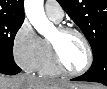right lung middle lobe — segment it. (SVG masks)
I'll use <instances>...</instances> for the list:
<instances>
[{
    "label": "right lung middle lobe",
    "instance_id": "right-lung-middle-lobe-1",
    "mask_svg": "<svg viewBox=\"0 0 107 89\" xmlns=\"http://www.w3.org/2000/svg\"><path fill=\"white\" fill-rule=\"evenodd\" d=\"M24 19L0 16V63L16 66L13 58L14 38Z\"/></svg>",
    "mask_w": 107,
    "mask_h": 89
}]
</instances>
